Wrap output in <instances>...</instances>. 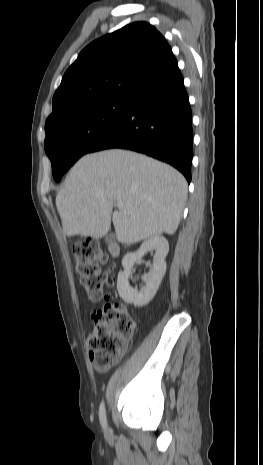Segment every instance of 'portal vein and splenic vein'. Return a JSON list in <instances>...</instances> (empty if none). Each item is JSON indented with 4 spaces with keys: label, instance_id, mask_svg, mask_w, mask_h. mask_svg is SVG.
<instances>
[{
    "label": "portal vein and splenic vein",
    "instance_id": "obj_1",
    "mask_svg": "<svg viewBox=\"0 0 263 465\" xmlns=\"http://www.w3.org/2000/svg\"><path fill=\"white\" fill-rule=\"evenodd\" d=\"M123 207H124L123 203H121V202L117 203V208L118 209H122Z\"/></svg>",
    "mask_w": 263,
    "mask_h": 465
}]
</instances>
